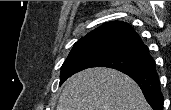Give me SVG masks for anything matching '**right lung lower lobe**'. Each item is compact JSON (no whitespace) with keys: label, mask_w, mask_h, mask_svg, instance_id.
<instances>
[{"label":"right lung lower lobe","mask_w":171,"mask_h":110,"mask_svg":"<svg viewBox=\"0 0 171 110\" xmlns=\"http://www.w3.org/2000/svg\"><path fill=\"white\" fill-rule=\"evenodd\" d=\"M131 77L141 88L147 102L154 110H163V95L160 90L159 78L155 66L145 71L123 72Z\"/></svg>","instance_id":"right-lung-lower-lobe-1"}]
</instances>
